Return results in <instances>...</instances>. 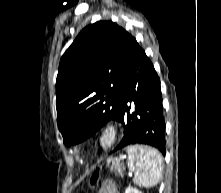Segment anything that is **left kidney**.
<instances>
[{
  "instance_id": "left-kidney-1",
  "label": "left kidney",
  "mask_w": 221,
  "mask_h": 193,
  "mask_svg": "<svg viewBox=\"0 0 221 193\" xmlns=\"http://www.w3.org/2000/svg\"><path fill=\"white\" fill-rule=\"evenodd\" d=\"M125 193H142L141 191H139L137 188H133V187H128L126 190H125Z\"/></svg>"
}]
</instances>
